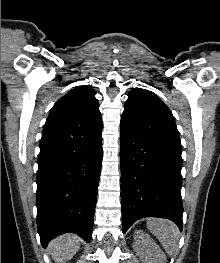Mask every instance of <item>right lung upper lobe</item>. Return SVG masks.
I'll return each mask as SVG.
<instances>
[{"label": "right lung upper lobe", "instance_id": "1", "mask_svg": "<svg viewBox=\"0 0 220 263\" xmlns=\"http://www.w3.org/2000/svg\"><path fill=\"white\" fill-rule=\"evenodd\" d=\"M102 127L99 103L90 87L71 90L52 107L42 139L82 137Z\"/></svg>", "mask_w": 220, "mask_h": 263}]
</instances>
